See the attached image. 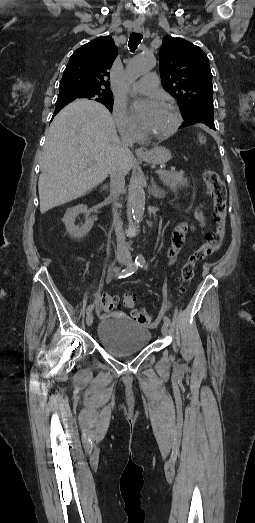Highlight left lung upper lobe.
<instances>
[{"label":"left lung upper lobe","mask_w":255,"mask_h":523,"mask_svg":"<svg viewBox=\"0 0 255 523\" xmlns=\"http://www.w3.org/2000/svg\"><path fill=\"white\" fill-rule=\"evenodd\" d=\"M164 89L177 99L185 121L182 126L205 124L216 130L212 73L207 55L192 43L166 36L159 50Z\"/></svg>","instance_id":"1"}]
</instances>
